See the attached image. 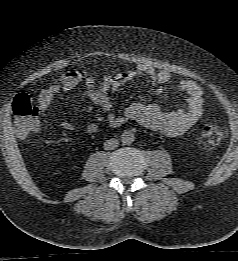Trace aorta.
Segmentation results:
<instances>
[{
    "label": "aorta",
    "instance_id": "aorta-1",
    "mask_svg": "<svg viewBox=\"0 0 238 261\" xmlns=\"http://www.w3.org/2000/svg\"><path fill=\"white\" fill-rule=\"evenodd\" d=\"M135 140V136L133 132L125 130L121 135V141L123 144L129 145L133 143Z\"/></svg>",
    "mask_w": 238,
    "mask_h": 261
}]
</instances>
